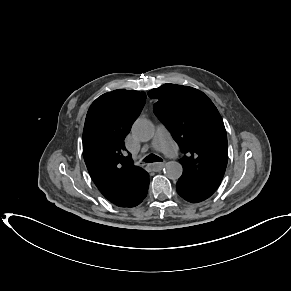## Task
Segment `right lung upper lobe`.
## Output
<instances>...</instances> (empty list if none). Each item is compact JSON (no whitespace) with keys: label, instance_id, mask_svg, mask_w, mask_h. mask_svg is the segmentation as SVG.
Segmentation results:
<instances>
[{"label":"right lung upper lobe","instance_id":"1","mask_svg":"<svg viewBox=\"0 0 291 291\" xmlns=\"http://www.w3.org/2000/svg\"><path fill=\"white\" fill-rule=\"evenodd\" d=\"M146 94L114 90L90 106L83 130V156L89 174L112 203L135 202L149 186V174L126 155L124 138L141 113Z\"/></svg>","mask_w":291,"mask_h":291}]
</instances>
